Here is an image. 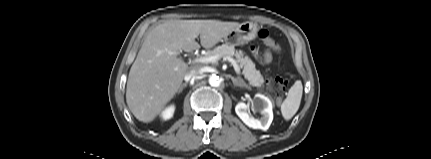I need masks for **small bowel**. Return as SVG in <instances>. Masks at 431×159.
<instances>
[{
  "label": "small bowel",
  "instance_id": "1",
  "mask_svg": "<svg viewBox=\"0 0 431 159\" xmlns=\"http://www.w3.org/2000/svg\"><path fill=\"white\" fill-rule=\"evenodd\" d=\"M274 50H278L279 48L275 45L274 47H272ZM256 53V52H255ZM270 60V57L268 58L267 56L265 57V61H269Z\"/></svg>",
  "mask_w": 431,
  "mask_h": 159
}]
</instances>
